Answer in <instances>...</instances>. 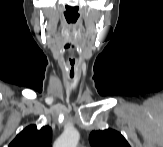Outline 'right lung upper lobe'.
Masks as SVG:
<instances>
[{
    "mask_svg": "<svg viewBox=\"0 0 163 147\" xmlns=\"http://www.w3.org/2000/svg\"><path fill=\"white\" fill-rule=\"evenodd\" d=\"M52 129L43 126L37 129L36 125H30L23 129L9 144V147H51Z\"/></svg>",
    "mask_w": 163,
    "mask_h": 147,
    "instance_id": "cb5924a9",
    "label": "right lung upper lobe"
}]
</instances>
